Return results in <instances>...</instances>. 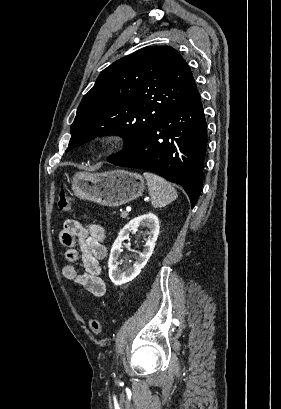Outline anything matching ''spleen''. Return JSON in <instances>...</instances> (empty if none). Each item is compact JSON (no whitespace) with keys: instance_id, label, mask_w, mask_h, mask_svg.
<instances>
[{"instance_id":"1","label":"spleen","mask_w":281,"mask_h":409,"mask_svg":"<svg viewBox=\"0 0 281 409\" xmlns=\"http://www.w3.org/2000/svg\"><path fill=\"white\" fill-rule=\"evenodd\" d=\"M147 184L149 194L151 196V202L153 207H166L170 205L172 200H176L178 194L174 186H171L170 182L158 176V174H153V172H143Z\"/></svg>"}]
</instances>
